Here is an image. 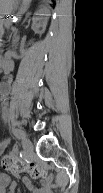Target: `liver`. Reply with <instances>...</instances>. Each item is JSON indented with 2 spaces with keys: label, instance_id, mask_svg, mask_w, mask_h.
<instances>
[{
  "label": "liver",
  "instance_id": "6515ba94",
  "mask_svg": "<svg viewBox=\"0 0 103 193\" xmlns=\"http://www.w3.org/2000/svg\"><path fill=\"white\" fill-rule=\"evenodd\" d=\"M6 3V0H1L0 1V6H1V12H4V5Z\"/></svg>",
  "mask_w": 103,
  "mask_h": 193
}]
</instances>
